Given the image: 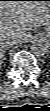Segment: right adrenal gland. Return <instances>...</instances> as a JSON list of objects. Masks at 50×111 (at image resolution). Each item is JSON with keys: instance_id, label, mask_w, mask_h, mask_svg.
<instances>
[{"instance_id": "right-adrenal-gland-1", "label": "right adrenal gland", "mask_w": 50, "mask_h": 111, "mask_svg": "<svg viewBox=\"0 0 50 111\" xmlns=\"http://www.w3.org/2000/svg\"><path fill=\"white\" fill-rule=\"evenodd\" d=\"M2 59H3V60H5V59H6L4 54L2 55Z\"/></svg>"}]
</instances>
